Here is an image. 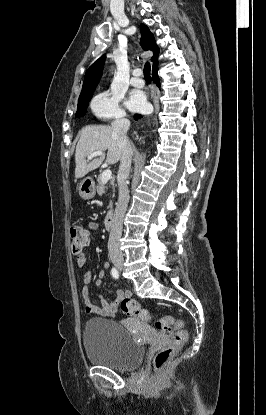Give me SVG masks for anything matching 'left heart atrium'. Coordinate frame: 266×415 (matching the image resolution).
I'll list each match as a JSON object with an SVG mask.
<instances>
[{
    "instance_id": "1",
    "label": "left heart atrium",
    "mask_w": 266,
    "mask_h": 415,
    "mask_svg": "<svg viewBox=\"0 0 266 415\" xmlns=\"http://www.w3.org/2000/svg\"><path fill=\"white\" fill-rule=\"evenodd\" d=\"M128 107L131 110L139 111L146 108V99L143 93H134L127 102Z\"/></svg>"
}]
</instances>
